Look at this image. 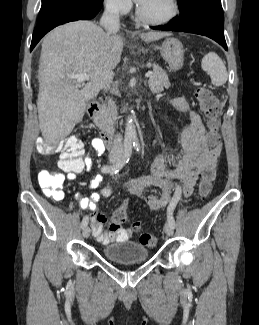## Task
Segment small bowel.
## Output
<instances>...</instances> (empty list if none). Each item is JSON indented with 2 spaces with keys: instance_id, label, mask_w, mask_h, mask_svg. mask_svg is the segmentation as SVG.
I'll list each match as a JSON object with an SVG mask.
<instances>
[{
  "instance_id": "small-bowel-1",
  "label": "small bowel",
  "mask_w": 259,
  "mask_h": 325,
  "mask_svg": "<svg viewBox=\"0 0 259 325\" xmlns=\"http://www.w3.org/2000/svg\"><path fill=\"white\" fill-rule=\"evenodd\" d=\"M173 106L188 117L187 123L181 132V144L183 155L178 157L172 167H167L165 157L162 154L157 155L151 164V174L130 180L126 186V191L138 198L145 200L147 205L153 211H160L169 204L174 189L175 182L181 181V194L184 197H190L193 194L194 187L204 170L214 168L221 152V144L211 146L205 137V128L201 117L195 111L188 108L184 99H175ZM92 148L99 154L105 151L102 140L98 137L91 141ZM92 158L90 156L81 157L75 167L66 168L68 178L73 180L77 174L85 168L90 167ZM62 165V162H59ZM102 180L101 175H96L90 182L91 188L99 186ZM157 187L160 189V195H146V189ZM113 191L105 187L99 193H93L89 198L76 194L75 198L80 207L91 212L90 223L93 235L98 242L108 244L112 241H128L132 238L133 231L129 228H123L121 225L110 223L109 231H104L106 217L97 212V202L103 198H109ZM118 210V209H117Z\"/></svg>"
}]
</instances>
